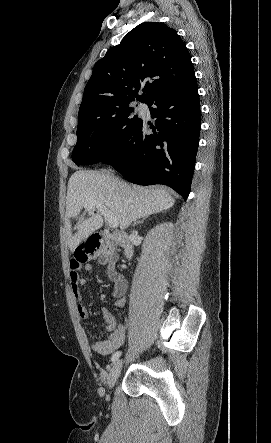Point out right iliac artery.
<instances>
[{
	"label": "right iliac artery",
	"mask_w": 271,
	"mask_h": 443,
	"mask_svg": "<svg viewBox=\"0 0 271 443\" xmlns=\"http://www.w3.org/2000/svg\"><path fill=\"white\" fill-rule=\"evenodd\" d=\"M121 354H122L121 351H117V352H115V353L112 355V357H111V361H112L113 363H115V362L119 359V357L121 356Z\"/></svg>",
	"instance_id": "obj_1"
}]
</instances>
